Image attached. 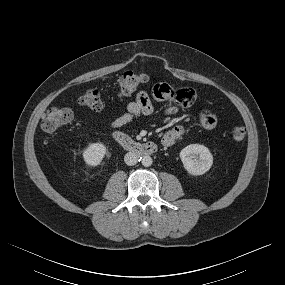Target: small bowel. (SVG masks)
<instances>
[{
	"mask_svg": "<svg viewBox=\"0 0 285 285\" xmlns=\"http://www.w3.org/2000/svg\"><path fill=\"white\" fill-rule=\"evenodd\" d=\"M151 95V96H150ZM140 91L134 100L130 101L123 114L112 120L109 126L112 129L121 128L141 115H149L154 111V103L162 105L169 113L175 112L179 105L191 106L196 99V93L191 88H183L178 91L163 82L155 84L150 92ZM153 100V101H152ZM198 121L201 127L207 130L214 129L217 125V117L209 110L199 114ZM182 126H174L169 129L162 138L165 146L174 145L183 135Z\"/></svg>",
	"mask_w": 285,
	"mask_h": 285,
	"instance_id": "obj_1",
	"label": "small bowel"
}]
</instances>
